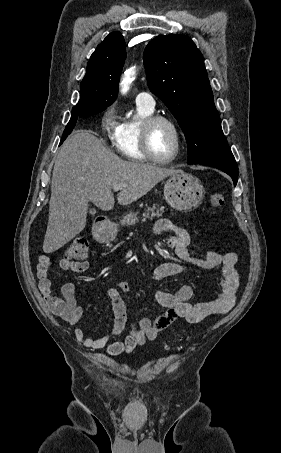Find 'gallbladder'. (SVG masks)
<instances>
[{"instance_id": "bac80fb5", "label": "gallbladder", "mask_w": 281, "mask_h": 453, "mask_svg": "<svg viewBox=\"0 0 281 453\" xmlns=\"http://www.w3.org/2000/svg\"><path fill=\"white\" fill-rule=\"evenodd\" d=\"M95 212H96L95 208H91L90 214H95Z\"/></svg>"}]
</instances>
